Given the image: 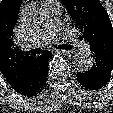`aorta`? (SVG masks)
<instances>
[{
	"label": "aorta",
	"instance_id": "1",
	"mask_svg": "<svg viewBox=\"0 0 113 113\" xmlns=\"http://www.w3.org/2000/svg\"><path fill=\"white\" fill-rule=\"evenodd\" d=\"M93 58L89 53L79 52L72 57V66L81 73L89 71L93 66Z\"/></svg>",
	"mask_w": 113,
	"mask_h": 113
}]
</instances>
